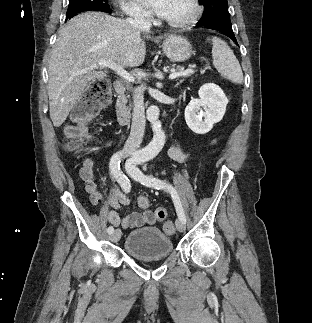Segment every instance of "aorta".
<instances>
[{"mask_svg":"<svg viewBox=\"0 0 312 323\" xmlns=\"http://www.w3.org/2000/svg\"><path fill=\"white\" fill-rule=\"evenodd\" d=\"M147 120L151 124V128L154 132L152 142L148 144L147 150L149 154H159L161 152L166 136L162 130L161 122L159 120V108L157 106H150L147 110Z\"/></svg>","mask_w":312,"mask_h":323,"instance_id":"762f6f07","label":"aorta"}]
</instances>
